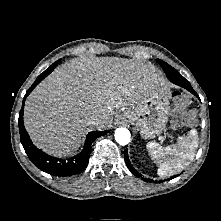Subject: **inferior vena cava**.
<instances>
[{"label":"inferior vena cava","mask_w":221,"mask_h":221,"mask_svg":"<svg viewBox=\"0 0 221 221\" xmlns=\"http://www.w3.org/2000/svg\"><path fill=\"white\" fill-rule=\"evenodd\" d=\"M100 123L99 118L97 117H91L90 119H88L87 124L88 125H98Z\"/></svg>","instance_id":"1"}]
</instances>
